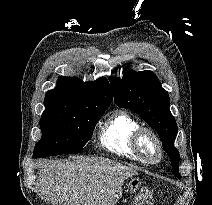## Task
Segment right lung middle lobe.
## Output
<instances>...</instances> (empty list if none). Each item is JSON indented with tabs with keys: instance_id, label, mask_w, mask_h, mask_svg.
<instances>
[{
	"instance_id": "right-lung-middle-lobe-1",
	"label": "right lung middle lobe",
	"mask_w": 212,
	"mask_h": 205,
	"mask_svg": "<svg viewBox=\"0 0 212 205\" xmlns=\"http://www.w3.org/2000/svg\"><path fill=\"white\" fill-rule=\"evenodd\" d=\"M108 107H75L59 114H42V137L35 146L34 158L81 152Z\"/></svg>"
}]
</instances>
